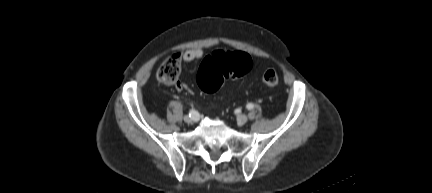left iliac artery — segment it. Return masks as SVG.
Listing matches in <instances>:
<instances>
[{"instance_id":"obj_1","label":"left iliac artery","mask_w":432,"mask_h":193,"mask_svg":"<svg viewBox=\"0 0 432 193\" xmlns=\"http://www.w3.org/2000/svg\"><path fill=\"white\" fill-rule=\"evenodd\" d=\"M253 107H254V105L252 103H248L246 105V108L249 109V110L253 109Z\"/></svg>"}]
</instances>
